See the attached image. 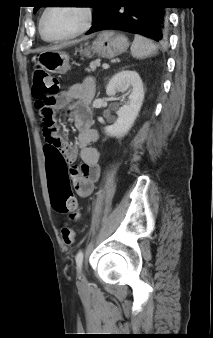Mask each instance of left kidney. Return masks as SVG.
<instances>
[{
  "label": "left kidney",
  "instance_id": "5707ae66",
  "mask_svg": "<svg viewBox=\"0 0 213 338\" xmlns=\"http://www.w3.org/2000/svg\"><path fill=\"white\" fill-rule=\"evenodd\" d=\"M118 92H127L128 101L119 108L115 123L104 128V132L113 137L125 136L140 112L144 100V88L139 74L127 69L116 73L106 87V94L114 96Z\"/></svg>",
  "mask_w": 213,
  "mask_h": 338
}]
</instances>
